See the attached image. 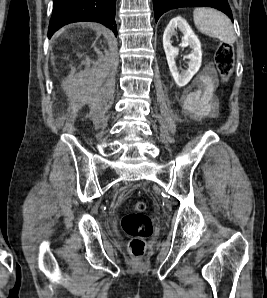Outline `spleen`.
I'll use <instances>...</instances> for the list:
<instances>
[{
    "instance_id": "spleen-1",
    "label": "spleen",
    "mask_w": 267,
    "mask_h": 298,
    "mask_svg": "<svg viewBox=\"0 0 267 298\" xmlns=\"http://www.w3.org/2000/svg\"><path fill=\"white\" fill-rule=\"evenodd\" d=\"M196 28L203 34L218 38L226 44H233L236 35L231 20L222 12L211 8H196L193 11Z\"/></svg>"
}]
</instances>
